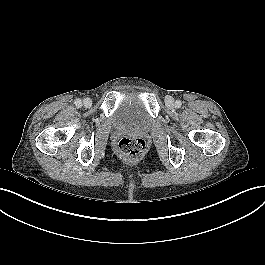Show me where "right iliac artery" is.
Segmentation results:
<instances>
[{"instance_id": "1", "label": "right iliac artery", "mask_w": 265, "mask_h": 265, "mask_svg": "<svg viewBox=\"0 0 265 265\" xmlns=\"http://www.w3.org/2000/svg\"><path fill=\"white\" fill-rule=\"evenodd\" d=\"M75 105H76L77 107H81V105H82L81 100H80V99H76V100H75Z\"/></svg>"}]
</instances>
